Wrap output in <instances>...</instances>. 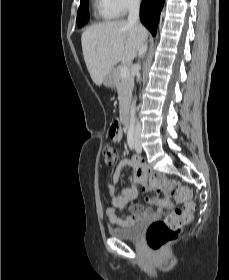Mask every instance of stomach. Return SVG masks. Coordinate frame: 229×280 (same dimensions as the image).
I'll return each mask as SVG.
<instances>
[{"label":"stomach","instance_id":"1","mask_svg":"<svg viewBox=\"0 0 229 280\" xmlns=\"http://www.w3.org/2000/svg\"><path fill=\"white\" fill-rule=\"evenodd\" d=\"M103 84L107 88H112L115 85V70H111L107 75L105 76L103 80Z\"/></svg>","mask_w":229,"mask_h":280}]
</instances>
